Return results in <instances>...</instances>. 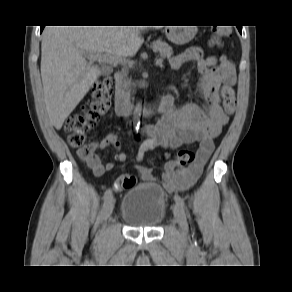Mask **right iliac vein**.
<instances>
[{
  "mask_svg": "<svg viewBox=\"0 0 292 292\" xmlns=\"http://www.w3.org/2000/svg\"><path fill=\"white\" fill-rule=\"evenodd\" d=\"M115 205V199L114 197H110L104 204L103 209H102V219L106 221L110 215L112 214V211L114 209Z\"/></svg>",
  "mask_w": 292,
  "mask_h": 292,
  "instance_id": "obj_1",
  "label": "right iliac vein"
}]
</instances>
